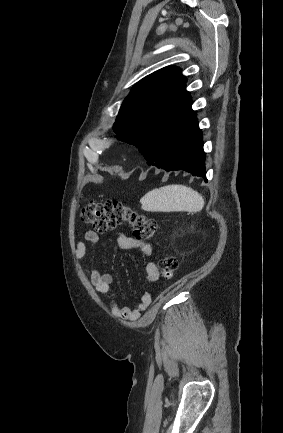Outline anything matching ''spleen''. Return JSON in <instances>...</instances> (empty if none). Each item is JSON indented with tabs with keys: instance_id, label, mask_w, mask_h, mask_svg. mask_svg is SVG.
<instances>
[{
	"instance_id": "obj_1",
	"label": "spleen",
	"mask_w": 283,
	"mask_h": 433,
	"mask_svg": "<svg viewBox=\"0 0 283 433\" xmlns=\"http://www.w3.org/2000/svg\"><path fill=\"white\" fill-rule=\"evenodd\" d=\"M143 210L150 212H171L186 210L196 212L202 210L205 200L197 190L183 184H168L161 188H153L140 198Z\"/></svg>"
}]
</instances>
